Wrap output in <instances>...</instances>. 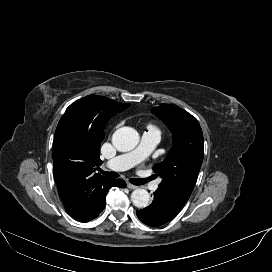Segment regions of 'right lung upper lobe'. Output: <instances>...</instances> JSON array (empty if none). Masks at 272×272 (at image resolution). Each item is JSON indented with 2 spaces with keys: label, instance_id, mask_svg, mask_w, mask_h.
I'll use <instances>...</instances> for the list:
<instances>
[{
  "label": "right lung upper lobe",
  "instance_id": "right-lung-upper-lobe-1",
  "mask_svg": "<svg viewBox=\"0 0 272 272\" xmlns=\"http://www.w3.org/2000/svg\"><path fill=\"white\" fill-rule=\"evenodd\" d=\"M130 104L89 95L71 104L54 136L53 173L68 212L86 220L110 187L111 178L95 173L107 121Z\"/></svg>",
  "mask_w": 272,
  "mask_h": 272
}]
</instances>
